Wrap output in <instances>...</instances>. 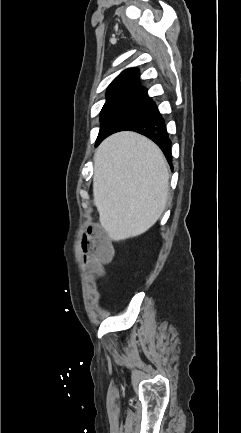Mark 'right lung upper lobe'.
I'll use <instances>...</instances> for the list:
<instances>
[{
    "instance_id": "right-lung-upper-lobe-1",
    "label": "right lung upper lobe",
    "mask_w": 241,
    "mask_h": 433,
    "mask_svg": "<svg viewBox=\"0 0 241 433\" xmlns=\"http://www.w3.org/2000/svg\"><path fill=\"white\" fill-rule=\"evenodd\" d=\"M122 96H147V89L140 84L138 70H124L109 85L107 99Z\"/></svg>"
}]
</instances>
